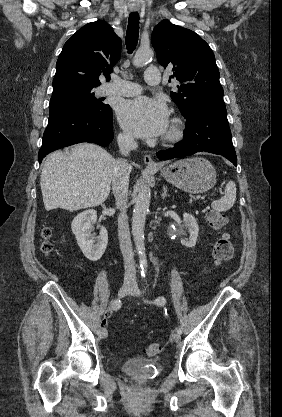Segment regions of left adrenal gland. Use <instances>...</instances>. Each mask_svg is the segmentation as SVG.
Listing matches in <instances>:
<instances>
[{
  "instance_id": "obj_1",
  "label": "left adrenal gland",
  "mask_w": 282,
  "mask_h": 417,
  "mask_svg": "<svg viewBox=\"0 0 282 417\" xmlns=\"http://www.w3.org/2000/svg\"><path fill=\"white\" fill-rule=\"evenodd\" d=\"M167 188H168V186H166V184H165V186H163V192L161 194L162 198H165V196H168Z\"/></svg>"
}]
</instances>
